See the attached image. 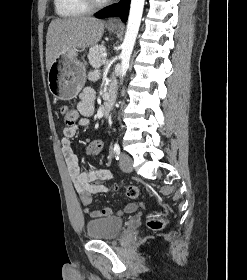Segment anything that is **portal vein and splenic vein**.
<instances>
[{
    "label": "portal vein and splenic vein",
    "instance_id": "obj_1",
    "mask_svg": "<svg viewBox=\"0 0 247 280\" xmlns=\"http://www.w3.org/2000/svg\"><path fill=\"white\" fill-rule=\"evenodd\" d=\"M107 62H108L107 59H104V60H103V64H106Z\"/></svg>",
    "mask_w": 247,
    "mask_h": 280
}]
</instances>
